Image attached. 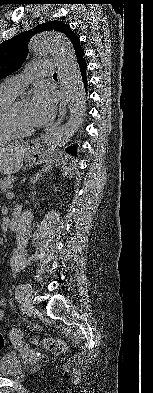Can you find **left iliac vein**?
<instances>
[{
	"label": "left iliac vein",
	"instance_id": "obj_1",
	"mask_svg": "<svg viewBox=\"0 0 153 393\" xmlns=\"http://www.w3.org/2000/svg\"><path fill=\"white\" fill-rule=\"evenodd\" d=\"M32 289L29 287L25 293V299L23 302V306L28 311H32L34 309L32 298H31Z\"/></svg>",
	"mask_w": 153,
	"mask_h": 393
}]
</instances>
